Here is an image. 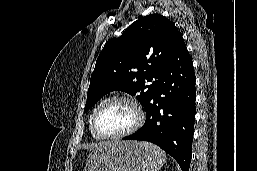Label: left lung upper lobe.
I'll use <instances>...</instances> for the list:
<instances>
[{
	"instance_id": "left-lung-upper-lobe-1",
	"label": "left lung upper lobe",
	"mask_w": 257,
	"mask_h": 171,
	"mask_svg": "<svg viewBox=\"0 0 257 171\" xmlns=\"http://www.w3.org/2000/svg\"><path fill=\"white\" fill-rule=\"evenodd\" d=\"M185 43L181 33L160 14L133 22L119 38L110 39L91 75L85 110L111 91L137 95L144 108L151 99L170 56ZM157 81L145 86V81Z\"/></svg>"
}]
</instances>
